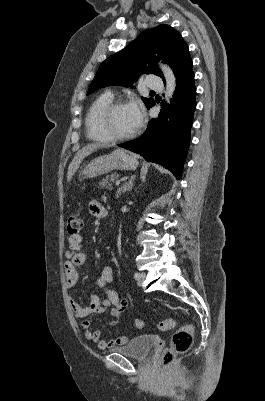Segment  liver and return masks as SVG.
Listing matches in <instances>:
<instances>
[{
	"mask_svg": "<svg viewBox=\"0 0 265 401\" xmlns=\"http://www.w3.org/2000/svg\"><path fill=\"white\" fill-rule=\"evenodd\" d=\"M101 146H111V144H102V142H90V144H86V146H82L81 150H78L77 154H75L73 160H71L68 166L67 172V180H71L73 178V174H75L76 170H78L81 160L91 154V152H95L97 148H101Z\"/></svg>",
	"mask_w": 265,
	"mask_h": 401,
	"instance_id": "liver-1",
	"label": "liver"
}]
</instances>
